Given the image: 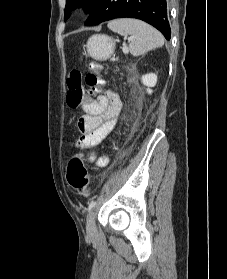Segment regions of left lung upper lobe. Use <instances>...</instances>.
<instances>
[{
  "instance_id": "1",
  "label": "left lung upper lobe",
  "mask_w": 227,
  "mask_h": 279,
  "mask_svg": "<svg viewBox=\"0 0 227 279\" xmlns=\"http://www.w3.org/2000/svg\"><path fill=\"white\" fill-rule=\"evenodd\" d=\"M96 2L97 0H66L64 20H67L70 16V12L79 6H83L86 13H90Z\"/></svg>"
}]
</instances>
